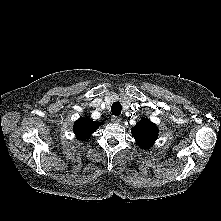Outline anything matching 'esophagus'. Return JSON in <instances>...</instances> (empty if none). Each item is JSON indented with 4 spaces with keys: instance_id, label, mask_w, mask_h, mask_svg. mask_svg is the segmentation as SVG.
<instances>
[{
    "instance_id": "obj_1",
    "label": "esophagus",
    "mask_w": 221,
    "mask_h": 221,
    "mask_svg": "<svg viewBox=\"0 0 221 221\" xmlns=\"http://www.w3.org/2000/svg\"><path fill=\"white\" fill-rule=\"evenodd\" d=\"M111 121H112L113 123L118 124V123L121 122V118H120V117L113 116V117L111 118Z\"/></svg>"
}]
</instances>
